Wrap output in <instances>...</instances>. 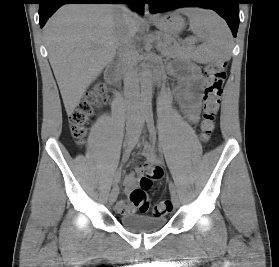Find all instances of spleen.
I'll use <instances>...</instances> for the list:
<instances>
[{
  "mask_svg": "<svg viewBox=\"0 0 279 267\" xmlns=\"http://www.w3.org/2000/svg\"><path fill=\"white\" fill-rule=\"evenodd\" d=\"M190 19V29L204 42L190 49V56L198 63L215 58L229 60L233 47L231 32L225 21L212 10L185 8L178 11Z\"/></svg>",
  "mask_w": 279,
  "mask_h": 267,
  "instance_id": "1",
  "label": "spleen"
}]
</instances>
